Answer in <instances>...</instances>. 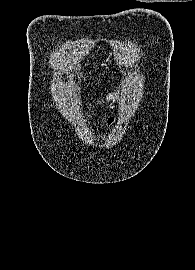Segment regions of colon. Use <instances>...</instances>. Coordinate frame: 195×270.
<instances>
[{
  "label": "colon",
  "instance_id": "colon-1",
  "mask_svg": "<svg viewBox=\"0 0 195 270\" xmlns=\"http://www.w3.org/2000/svg\"><path fill=\"white\" fill-rule=\"evenodd\" d=\"M113 123H114V118H112V117L109 118V119H108V124H113Z\"/></svg>",
  "mask_w": 195,
  "mask_h": 270
}]
</instances>
